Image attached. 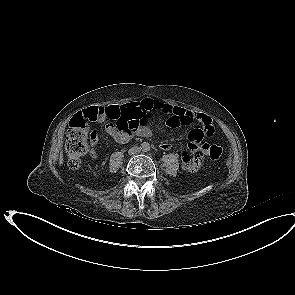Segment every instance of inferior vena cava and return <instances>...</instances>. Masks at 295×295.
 Wrapping results in <instances>:
<instances>
[{"instance_id":"inferior-vena-cava-1","label":"inferior vena cava","mask_w":295,"mask_h":295,"mask_svg":"<svg viewBox=\"0 0 295 295\" xmlns=\"http://www.w3.org/2000/svg\"><path fill=\"white\" fill-rule=\"evenodd\" d=\"M140 151H141L140 147L135 146V147L130 148L128 153L130 155H135V154L140 153Z\"/></svg>"}]
</instances>
